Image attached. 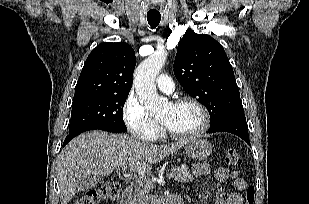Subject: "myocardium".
<instances>
[{
	"label": "myocardium",
	"mask_w": 309,
	"mask_h": 204,
	"mask_svg": "<svg viewBox=\"0 0 309 204\" xmlns=\"http://www.w3.org/2000/svg\"><path fill=\"white\" fill-rule=\"evenodd\" d=\"M184 104H192L195 107H197L202 115V123L201 126L194 132L191 133H187V134H179V133H175L172 130H170L163 121L160 120V124L162 127V130L165 134H167L169 137H171L172 139H176V140H189L192 138H196L199 137L201 135H203L209 128L210 126V115L209 112L207 110V108L205 107L204 104H202L200 101L191 98V97H184V98H180L177 100H174L171 102V105L173 106H181Z\"/></svg>",
	"instance_id": "obj_1"
}]
</instances>
